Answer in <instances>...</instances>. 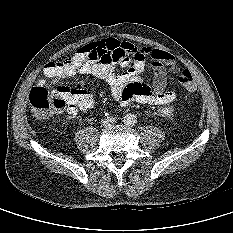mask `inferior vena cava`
I'll return each mask as SVG.
<instances>
[{"label": "inferior vena cava", "instance_id": "inferior-vena-cava-1", "mask_svg": "<svg viewBox=\"0 0 233 233\" xmlns=\"http://www.w3.org/2000/svg\"><path fill=\"white\" fill-rule=\"evenodd\" d=\"M115 118L113 117H107L105 119H102L101 124L102 126L106 128H110L115 123Z\"/></svg>", "mask_w": 233, "mask_h": 233}]
</instances>
